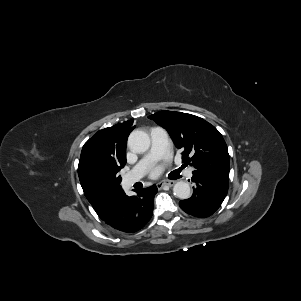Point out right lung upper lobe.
I'll return each instance as SVG.
<instances>
[{"label":"right lung upper lobe","instance_id":"cb5924a9","mask_svg":"<svg viewBox=\"0 0 301 301\" xmlns=\"http://www.w3.org/2000/svg\"><path fill=\"white\" fill-rule=\"evenodd\" d=\"M133 129V120H128L98 131L82 148L78 172L88 163L94 161L110 163L123 168L126 163L127 138ZM119 196L106 204L95 201L89 202L99 217L103 218L111 210Z\"/></svg>","mask_w":301,"mask_h":301}]
</instances>
